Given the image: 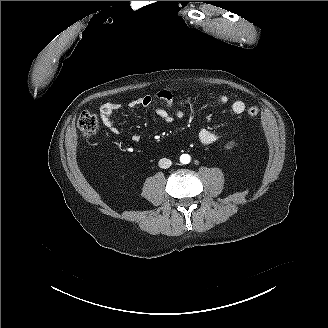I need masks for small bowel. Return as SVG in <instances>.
Returning a JSON list of instances; mask_svg holds the SVG:
<instances>
[{"label":"small bowel","instance_id":"obj_1","mask_svg":"<svg viewBox=\"0 0 328 328\" xmlns=\"http://www.w3.org/2000/svg\"><path fill=\"white\" fill-rule=\"evenodd\" d=\"M213 98L221 105L229 103V97L224 93H216ZM154 104H160L155 111L158 117L163 121L169 123L175 119L181 118L182 112L173 108V95L165 90L135 98L129 103V108L150 107ZM120 108L121 104L117 102H106L99 108L101 121L112 134H118L119 132L114 124L113 115L120 110ZM230 108L233 113L241 114L245 111L246 105L241 100H235L231 103ZM197 135L200 143L206 146L215 143L218 138L217 133L205 127H200ZM132 141L138 142L139 137L133 136Z\"/></svg>","mask_w":328,"mask_h":328}]
</instances>
